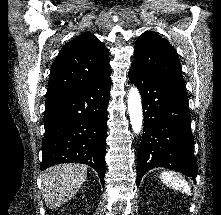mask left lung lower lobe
<instances>
[{"mask_svg":"<svg viewBox=\"0 0 221 215\" xmlns=\"http://www.w3.org/2000/svg\"><path fill=\"white\" fill-rule=\"evenodd\" d=\"M129 79L140 90L144 130L137 158V179L155 167L197 176L186 90L131 66Z\"/></svg>","mask_w":221,"mask_h":215,"instance_id":"left-lung-lower-lobe-1","label":"left lung lower lobe"}]
</instances>
